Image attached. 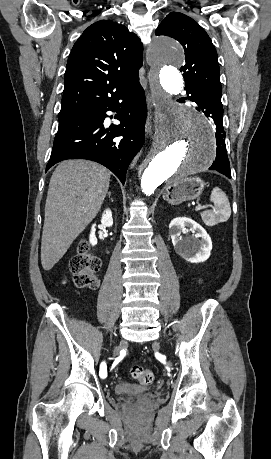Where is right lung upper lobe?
<instances>
[{
  "instance_id": "1",
  "label": "right lung upper lobe",
  "mask_w": 271,
  "mask_h": 459,
  "mask_svg": "<svg viewBox=\"0 0 271 459\" xmlns=\"http://www.w3.org/2000/svg\"><path fill=\"white\" fill-rule=\"evenodd\" d=\"M143 45L128 28L112 20L89 26L74 44L64 79L60 112L98 106L139 82Z\"/></svg>"
}]
</instances>
